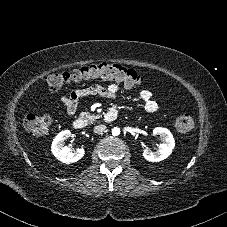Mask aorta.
Listing matches in <instances>:
<instances>
[{
	"label": "aorta",
	"mask_w": 227,
	"mask_h": 227,
	"mask_svg": "<svg viewBox=\"0 0 227 227\" xmlns=\"http://www.w3.org/2000/svg\"><path fill=\"white\" fill-rule=\"evenodd\" d=\"M119 134H120V129L117 128V127L113 128L112 135L113 136H118Z\"/></svg>",
	"instance_id": "aorta-1"
}]
</instances>
